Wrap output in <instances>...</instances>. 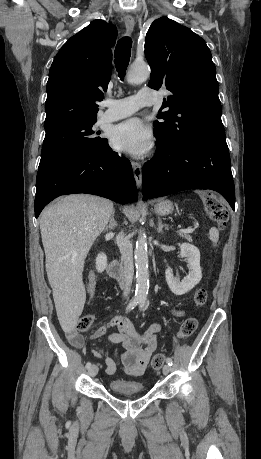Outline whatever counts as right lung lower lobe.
I'll use <instances>...</instances> for the list:
<instances>
[{
	"mask_svg": "<svg viewBox=\"0 0 261 459\" xmlns=\"http://www.w3.org/2000/svg\"><path fill=\"white\" fill-rule=\"evenodd\" d=\"M35 217L60 195L88 193L118 203L138 200L130 162L107 145L96 154L62 161L37 175Z\"/></svg>",
	"mask_w": 261,
	"mask_h": 459,
	"instance_id": "right-lung-lower-lobe-1",
	"label": "right lung lower lobe"
}]
</instances>
